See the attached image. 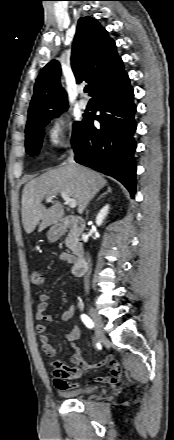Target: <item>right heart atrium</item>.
Segmentation results:
<instances>
[{
    "mask_svg": "<svg viewBox=\"0 0 174 440\" xmlns=\"http://www.w3.org/2000/svg\"><path fill=\"white\" fill-rule=\"evenodd\" d=\"M45 138L51 150L66 147L70 143V137L65 120L60 117L52 118L46 128Z\"/></svg>",
    "mask_w": 174,
    "mask_h": 440,
    "instance_id": "obj_1",
    "label": "right heart atrium"
}]
</instances>
